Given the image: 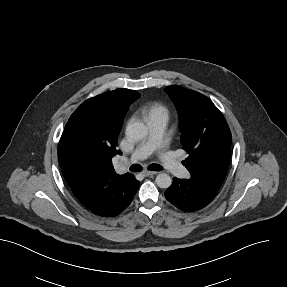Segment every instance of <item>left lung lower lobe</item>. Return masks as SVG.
I'll return each instance as SVG.
<instances>
[{"label":"left lung lower lobe","mask_w":287,"mask_h":287,"mask_svg":"<svg viewBox=\"0 0 287 287\" xmlns=\"http://www.w3.org/2000/svg\"><path fill=\"white\" fill-rule=\"evenodd\" d=\"M217 192V189L193 178L188 180L173 178L165 197L180 210L194 212L207 206Z\"/></svg>","instance_id":"left-lung-lower-lobe-1"}]
</instances>
